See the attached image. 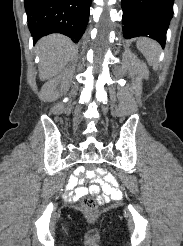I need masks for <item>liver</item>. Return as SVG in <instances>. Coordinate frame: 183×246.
<instances>
[{
  "mask_svg": "<svg viewBox=\"0 0 183 246\" xmlns=\"http://www.w3.org/2000/svg\"><path fill=\"white\" fill-rule=\"evenodd\" d=\"M39 56V78L48 80L57 75L66 66L70 59L72 41L59 34L42 38L36 45Z\"/></svg>",
  "mask_w": 183,
  "mask_h": 246,
  "instance_id": "6515ba94",
  "label": "liver"
}]
</instances>
